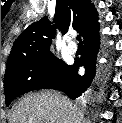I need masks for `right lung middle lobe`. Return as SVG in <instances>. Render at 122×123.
I'll use <instances>...</instances> for the list:
<instances>
[{
  "instance_id": "obj_1",
  "label": "right lung middle lobe",
  "mask_w": 122,
  "mask_h": 123,
  "mask_svg": "<svg viewBox=\"0 0 122 123\" xmlns=\"http://www.w3.org/2000/svg\"><path fill=\"white\" fill-rule=\"evenodd\" d=\"M69 65L58 60L52 53L43 54L6 68L4 91L6 106L19 95L39 90L60 79Z\"/></svg>"
}]
</instances>
